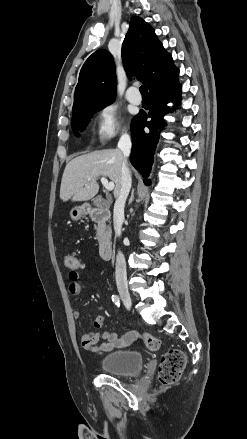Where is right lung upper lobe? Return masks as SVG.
I'll use <instances>...</instances> for the list:
<instances>
[{"mask_svg":"<svg viewBox=\"0 0 247 439\" xmlns=\"http://www.w3.org/2000/svg\"><path fill=\"white\" fill-rule=\"evenodd\" d=\"M122 60L128 78L135 76L146 83L150 94L177 82L179 70L172 57L154 29L140 17L131 20L122 45ZM116 84L113 57L104 49L95 51L81 68L72 115L112 103Z\"/></svg>","mask_w":247,"mask_h":439,"instance_id":"right-lung-upper-lobe-1","label":"right lung upper lobe"}]
</instances>
